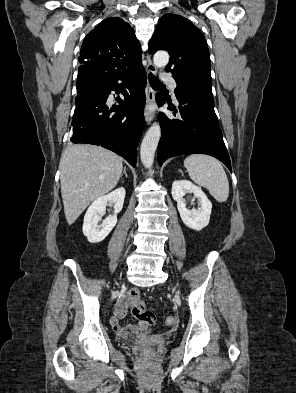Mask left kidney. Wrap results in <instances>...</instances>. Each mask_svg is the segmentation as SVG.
Wrapping results in <instances>:
<instances>
[{
	"label": "left kidney",
	"mask_w": 296,
	"mask_h": 393,
	"mask_svg": "<svg viewBox=\"0 0 296 393\" xmlns=\"http://www.w3.org/2000/svg\"><path fill=\"white\" fill-rule=\"evenodd\" d=\"M187 192L193 193L194 197L200 201V208L198 210H189L186 207V202L183 197ZM172 197L177 202V209L180 213V217L187 227L200 231L208 225L212 203L200 187H197L187 180L174 181L172 184Z\"/></svg>",
	"instance_id": "5707ae66"
}]
</instances>
